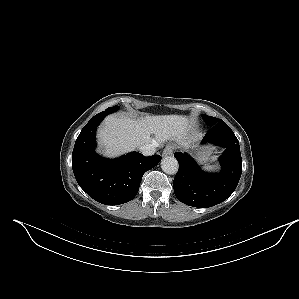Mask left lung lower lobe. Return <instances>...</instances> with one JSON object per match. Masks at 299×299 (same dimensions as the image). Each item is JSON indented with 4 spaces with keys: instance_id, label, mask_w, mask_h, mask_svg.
Wrapping results in <instances>:
<instances>
[{
    "instance_id": "1",
    "label": "left lung lower lobe",
    "mask_w": 299,
    "mask_h": 299,
    "mask_svg": "<svg viewBox=\"0 0 299 299\" xmlns=\"http://www.w3.org/2000/svg\"><path fill=\"white\" fill-rule=\"evenodd\" d=\"M203 143L226 148L219 158L222 165L219 174L203 172L186 153L174 154L179 163L173 181L174 193L182 203L197 208L211 207L226 200L236 189L242 173L239 141L226 123L212 126Z\"/></svg>"
}]
</instances>
